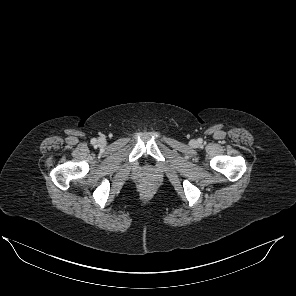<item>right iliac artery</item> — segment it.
Instances as JSON below:
<instances>
[{
    "label": "right iliac artery",
    "mask_w": 296,
    "mask_h": 296,
    "mask_svg": "<svg viewBox=\"0 0 296 296\" xmlns=\"http://www.w3.org/2000/svg\"><path fill=\"white\" fill-rule=\"evenodd\" d=\"M96 141H97L96 139H92V140H91V143H92V144H95Z\"/></svg>",
    "instance_id": "obj_1"
}]
</instances>
